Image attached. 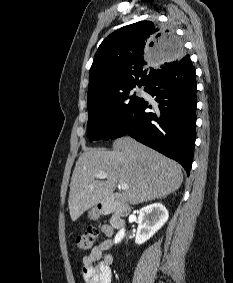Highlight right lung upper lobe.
Returning <instances> with one entry per match:
<instances>
[{"instance_id":"obj_1","label":"right lung upper lobe","mask_w":233,"mask_h":283,"mask_svg":"<svg viewBox=\"0 0 233 283\" xmlns=\"http://www.w3.org/2000/svg\"><path fill=\"white\" fill-rule=\"evenodd\" d=\"M180 49L183 44L174 34L152 21L118 29L103 40L95 54L89 72L87 105L135 85L146 86L184 55H190V50Z\"/></svg>"}]
</instances>
